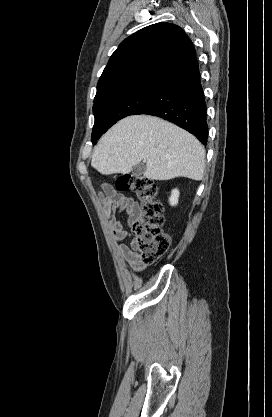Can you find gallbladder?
Returning a JSON list of instances; mask_svg holds the SVG:
<instances>
[{
	"label": "gallbladder",
	"instance_id": "1",
	"mask_svg": "<svg viewBox=\"0 0 272 417\" xmlns=\"http://www.w3.org/2000/svg\"><path fill=\"white\" fill-rule=\"evenodd\" d=\"M145 169V164L141 162L132 168L131 173L133 176H141L144 173Z\"/></svg>",
	"mask_w": 272,
	"mask_h": 417
}]
</instances>
